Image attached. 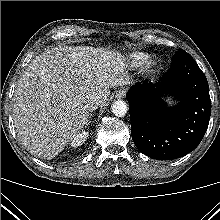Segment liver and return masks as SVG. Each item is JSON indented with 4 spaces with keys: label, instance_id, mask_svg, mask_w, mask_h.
<instances>
[{
    "label": "liver",
    "instance_id": "1",
    "mask_svg": "<svg viewBox=\"0 0 220 220\" xmlns=\"http://www.w3.org/2000/svg\"><path fill=\"white\" fill-rule=\"evenodd\" d=\"M125 57L91 46L47 49L27 65L14 93L13 120L24 147L52 159L89 121L93 96L106 105L110 88L127 85Z\"/></svg>",
    "mask_w": 220,
    "mask_h": 220
}]
</instances>
